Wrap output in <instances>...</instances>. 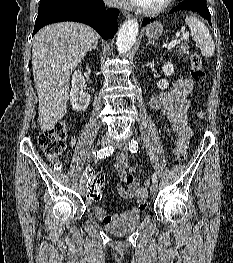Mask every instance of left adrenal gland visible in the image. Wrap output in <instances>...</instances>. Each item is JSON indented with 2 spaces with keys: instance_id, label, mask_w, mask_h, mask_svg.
<instances>
[{
  "instance_id": "obj_1",
  "label": "left adrenal gland",
  "mask_w": 233,
  "mask_h": 263,
  "mask_svg": "<svg viewBox=\"0 0 233 263\" xmlns=\"http://www.w3.org/2000/svg\"><path fill=\"white\" fill-rule=\"evenodd\" d=\"M150 44L155 45V46H158L157 43H155L154 41H152V40L149 39V41L147 42L146 46H148V45H150Z\"/></svg>"
}]
</instances>
